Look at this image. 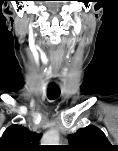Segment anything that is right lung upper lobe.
Listing matches in <instances>:
<instances>
[{"instance_id":"cb5924a9","label":"right lung upper lobe","mask_w":118,"mask_h":151,"mask_svg":"<svg viewBox=\"0 0 118 151\" xmlns=\"http://www.w3.org/2000/svg\"><path fill=\"white\" fill-rule=\"evenodd\" d=\"M41 134L32 132L22 125H11L0 139V151H35L39 149Z\"/></svg>"}]
</instances>
